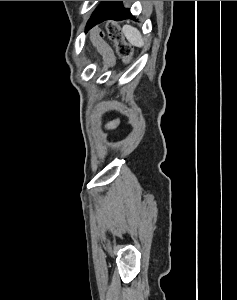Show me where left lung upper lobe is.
<instances>
[{
  "instance_id": "1",
  "label": "left lung upper lobe",
  "mask_w": 237,
  "mask_h": 300,
  "mask_svg": "<svg viewBox=\"0 0 237 300\" xmlns=\"http://www.w3.org/2000/svg\"><path fill=\"white\" fill-rule=\"evenodd\" d=\"M109 3V1H104L102 4H100L97 9L94 11V13L92 14L91 18L89 19L87 26H86V31L88 29V25L89 23L96 18L101 12L102 10L106 7V5ZM134 19V17H132Z\"/></svg>"
}]
</instances>
